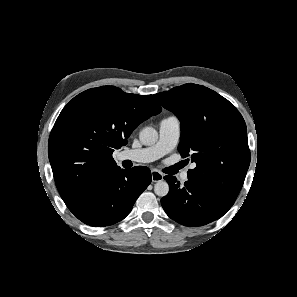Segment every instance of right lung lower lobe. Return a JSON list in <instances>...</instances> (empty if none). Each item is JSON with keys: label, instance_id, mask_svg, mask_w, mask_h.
I'll use <instances>...</instances> for the list:
<instances>
[{"label": "right lung lower lobe", "instance_id": "1", "mask_svg": "<svg viewBox=\"0 0 297 297\" xmlns=\"http://www.w3.org/2000/svg\"><path fill=\"white\" fill-rule=\"evenodd\" d=\"M151 182V171L144 166L118 169L95 184L70 211L93 227L115 224L124 219Z\"/></svg>", "mask_w": 297, "mask_h": 297}]
</instances>
